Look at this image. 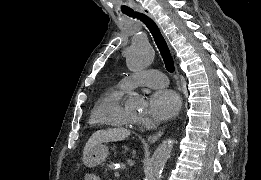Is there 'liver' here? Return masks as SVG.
Returning <instances> with one entry per match:
<instances>
[{
  "instance_id": "1",
  "label": "liver",
  "mask_w": 261,
  "mask_h": 180,
  "mask_svg": "<svg viewBox=\"0 0 261 180\" xmlns=\"http://www.w3.org/2000/svg\"><path fill=\"white\" fill-rule=\"evenodd\" d=\"M130 130H126V128H108V130H98V132H94L92 136H90L85 148H84V156L98 146V144H104V142H121V140H125L130 136Z\"/></svg>"
}]
</instances>
